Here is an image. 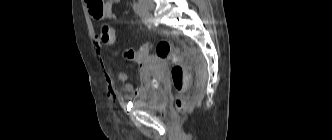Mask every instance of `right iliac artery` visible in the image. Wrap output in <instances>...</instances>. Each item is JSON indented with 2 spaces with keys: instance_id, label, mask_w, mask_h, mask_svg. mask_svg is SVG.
Wrapping results in <instances>:
<instances>
[{
  "instance_id": "1",
  "label": "right iliac artery",
  "mask_w": 332,
  "mask_h": 140,
  "mask_svg": "<svg viewBox=\"0 0 332 140\" xmlns=\"http://www.w3.org/2000/svg\"><path fill=\"white\" fill-rule=\"evenodd\" d=\"M133 9H134L135 13L137 15H139L140 17L146 16V11L140 3H134Z\"/></svg>"
}]
</instances>
